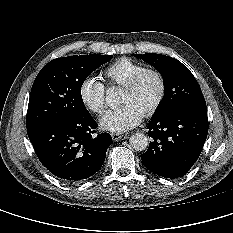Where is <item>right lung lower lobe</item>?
I'll use <instances>...</instances> for the list:
<instances>
[{"label":"right lung lower lobe","mask_w":233,"mask_h":233,"mask_svg":"<svg viewBox=\"0 0 233 233\" xmlns=\"http://www.w3.org/2000/svg\"><path fill=\"white\" fill-rule=\"evenodd\" d=\"M96 126L88 112L68 121L37 126L27 133L44 167L62 181L76 183L101 168L112 144L109 133L94 138Z\"/></svg>","instance_id":"obj_1"}]
</instances>
